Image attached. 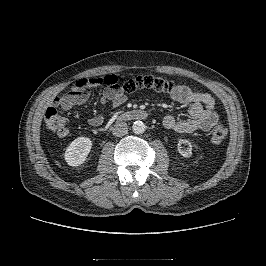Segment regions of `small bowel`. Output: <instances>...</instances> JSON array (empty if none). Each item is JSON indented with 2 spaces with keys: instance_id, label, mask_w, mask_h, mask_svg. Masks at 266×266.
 <instances>
[{
  "instance_id": "small-bowel-1",
  "label": "small bowel",
  "mask_w": 266,
  "mask_h": 266,
  "mask_svg": "<svg viewBox=\"0 0 266 266\" xmlns=\"http://www.w3.org/2000/svg\"><path fill=\"white\" fill-rule=\"evenodd\" d=\"M171 98L181 104H189L190 118L180 120L172 115H167L163 119V125L169 130L180 133H192L198 130L209 131L218 121V114L214 110L215 100L207 94L193 91L190 87L179 84L171 92ZM89 99V94L69 93L55 100L64 111H69L73 106L84 104ZM126 101V96L118 91L108 88L101 96L103 104H110L112 108L121 106ZM104 119L101 115H94L89 118L92 127L102 125ZM67 132L61 133L66 135Z\"/></svg>"
}]
</instances>
